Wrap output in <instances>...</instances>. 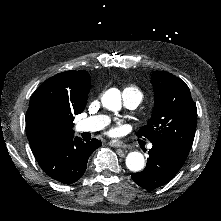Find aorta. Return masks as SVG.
I'll return each instance as SVG.
<instances>
[{
	"label": "aorta",
	"instance_id": "aorta-1",
	"mask_svg": "<svg viewBox=\"0 0 221 221\" xmlns=\"http://www.w3.org/2000/svg\"><path fill=\"white\" fill-rule=\"evenodd\" d=\"M103 105L112 111H116L121 106V96L119 92L103 96ZM144 156L140 152H130L126 157V166L132 172H139L144 168Z\"/></svg>",
	"mask_w": 221,
	"mask_h": 221
}]
</instances>
